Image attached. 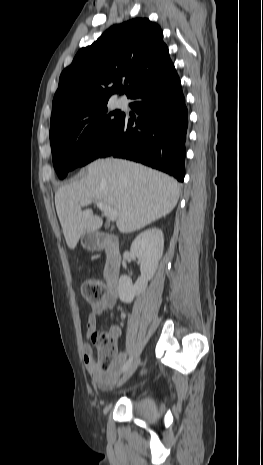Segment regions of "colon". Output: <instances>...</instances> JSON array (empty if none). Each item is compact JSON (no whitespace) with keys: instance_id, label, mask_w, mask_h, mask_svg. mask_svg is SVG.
Instances as JSON below:
<instances>
[{"instance_id":"5ec220e1","label":"colon","mask_w":263,"mask_h":465,"mask_svg":"<svg viewBox=\"0 0 263 465\" xmlns=\"http://www.w3.org/2000/svg\"><path fill=\"white\" fill-rule=\"evenodd\" d=\"M83 297L91 304L101 300L106 294L105 283L97 278H88L81 285ZM91 341L98 352V367L107 372L117 365V344L115 335L110 332H93Z\"/></svg>"}]
</instances>
